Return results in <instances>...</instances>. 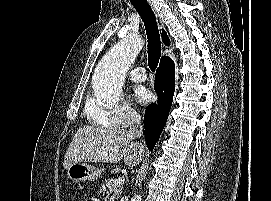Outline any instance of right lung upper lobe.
I'll return each instance as SVG.
<instances>
[{
	"label": "right lung upper lobe",
	"instance_id": "obj_1",
	"mask_svg": "<svg viewBox=\"0 0 271 201\" xmlns=\"http://www.w3.org/2000/svg\"><path fill=\"white\" fill-rule=\"evenodd\" d=\"M162 39H163V42L166 44V45H169V40H168V37L166 35V33L164 31H162ZM167 60H170L169 57H162L161 58V61H160V64H162L163 62L167 61Z\"/></svg>",
	"mask_w": 271,
	"mask_h": 201
}]
</instances>
